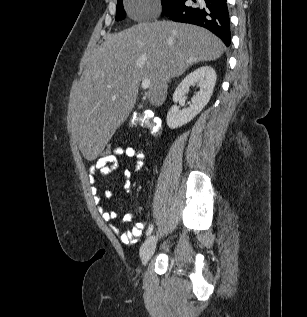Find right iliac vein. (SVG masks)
Returning a JSON list of instances; mask_svg holds the SVG:
<instances>
[{"label": "right iliac vein", "instance_id": "right-iliac-vein-1", "mask_svg": "<svg viewBox=\"0 0 307 317\" xmlns=\"http://www.w3.org/2000/svg\"><path fill=\"white\" fill-rule=\"evenodd\" d=\"M157 243V237L151 235L140 248V257L143 265H146L152 257Z\"/></svg>", "mask_w": 307, "mask_h": 317}]
</instances>
